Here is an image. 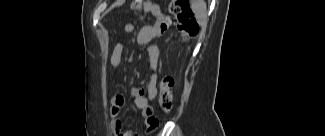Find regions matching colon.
I'll use <instances>...</instances> for the list:
<instances>
[{"instance_id":"1","label":"colon","mask_w":325,"mask_h":136,"mask_svg":"<svg viewBox=\"0 0 325 136\" xmlns=\"http://www.w3.org/2000/svg\"><path fill=\"white\" fill-rule=\"evenodd\" d=\"M143 0H134L132 8L141 10ZM170 11L175 16L174 24L178 32L184 38H188L196 34L199 30V25L194 18L189 0H171ZM173 79L170 76H164L159 83L158 101L161 109L168 112L173 106Z\"/></svg>"}]
</instances>
